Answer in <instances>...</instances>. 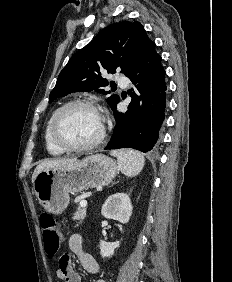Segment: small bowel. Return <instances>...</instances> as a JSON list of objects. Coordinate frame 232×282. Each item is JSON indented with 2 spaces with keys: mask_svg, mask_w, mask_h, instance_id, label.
<instances>
[{
  "mask_svg": "<svg viewBox=\"0 0 232 282\" xmlns=\"http://www.w3.org/2000/svg\"><path fill=\"white\" fill-rule=\"evenodd\" d=\"M68 247L72 255L80 262L83 269L93 275L99 273V264L95 258L87 253L83 248L82 236L73 233L68 238ZM71 254H64L59 258L56 275L64 282H81L79 274L73 269ZM93 282H106L102 278H97Z\"/></svg>",
  "mask_w": 232,
  "mask_h": 282,
  "instance_id": "small-bowel-1",
  "label": "small bowel"
}]
</instances>
